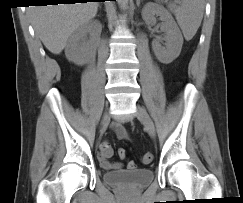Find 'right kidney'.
<instances>
[{"mask_svg":"<svg viewBox=\"0 0 243 203\" xmlns=\"http://www.w3.org/2000/svg\"><path fill=\"white\" fill-rule=\"evenodd\" d=\"M101 27L98 21H91L78 27L68 39L65 55L66 58L77 64L89 62L94 55V46L85 40L88 33H95Z\"/></svg>","mask_w":243,"mask_h":203,"instance_id":"right-kidney-1","label":"right kidney"}]
</instances>
